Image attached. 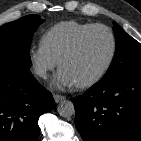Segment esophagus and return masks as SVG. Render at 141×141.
I'll return each instance as SVG.
<instances>
[{"label":"esophagus","instance_id":"1","mask_svg":"<svg viewBox=\"0 0 141 141\" xmlns=\"http://www.w3.org/2000/svg\"><path fill=\"white\" fill-rule=\"evenodd\" d=\"M53 97H54V100H55L56 103H60L65 99L64 96L59 95V94H54Z\"/></svg>","mask_w":141,"mask_h":141}]
</instances>
